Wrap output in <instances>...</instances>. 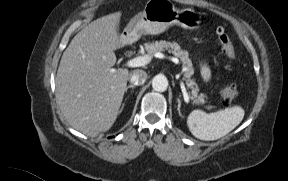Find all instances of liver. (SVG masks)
I'll use <instances>...</instances> for the list:
<instances>
[{
	"instance_id": "liver-1",
	"label": "liver",
	"mask_w": 288,
	"mask_h": 181,
	"mask_svg": "<svg viewBox=\"0 0 288 181\" xmlns=\"http://www.w3.org/2000/svg\"><path fill=\"white\" fill-rule=\"evenodd\" d=\"M121 12L98 18L78 32L63 52L56 75V98L68 123L95 137L114 124L130 73L112 68L114 51L132 42L119 35Z\"/></svg>"
}]
</instances>
